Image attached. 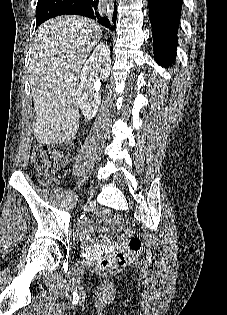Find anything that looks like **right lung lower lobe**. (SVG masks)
Listing matches in <instances>:
<instances>
[{
  "instance_id": "98d812e1",
  "label": "right lung lower lobe",
  "mask_w": 227,
  "mask_h": 315,
  "mask_svg": "<svg viewBox=\"0 0 227 315\" xmlns=\"http://www.w3.org/2000/svg\"><path fill=\"white\" fill-rule=\"evenodd\" d=\"M97 8L98 0H65L53 11L51 18L61 15H81L97 20L101 25L115 30L117 16L116 2L112 19H108L106 16L101 17L99 12H97Z\"/></svg>"
}]
</instances>
